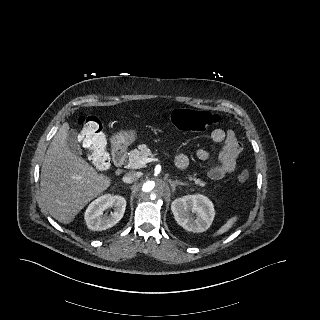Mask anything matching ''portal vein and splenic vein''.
<instances>
[{
  "instance_id": "18ae733b",
  "label": "portal vein and splenic vein",
  "mask_w": 320,
  "mask_h": 320,
  "mask_svg": "<svg viewBox=\"0 0 320 320\" xmlns=\"http://www.w3.org/2000/svg\"><path fill=\"white\" fill-rule=\"evenodd\" d=\"M154 160H155L154 158H142V159L139 160L137 163L128 164V167L135 169V168H137L138 166L145 165L146 163L151 162V161H154Z\"/></svg>"
}]
</instances>
